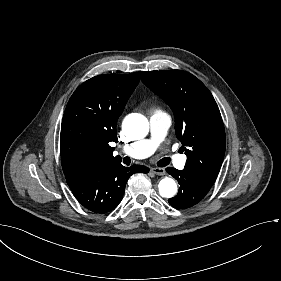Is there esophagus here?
I'll list each match as a JSON object with an SVG mask.
<instances>
[{
  "label": "esophagus",
  "mask_w": 281,
  "mask_h": 281,
  "mask_svg": "<svg viewBox=\"0 0 281 281\" xmlns=\"http://www.w3.org/2000/svg\"><path fill=\"white\" fill-rule=\"evenodd\" d=\"M151 172H153L156 175L163 176L166 174V170L164 168H151Z\"/></svg>",
  "instance_id": "obj_1"
}]
</instances>
